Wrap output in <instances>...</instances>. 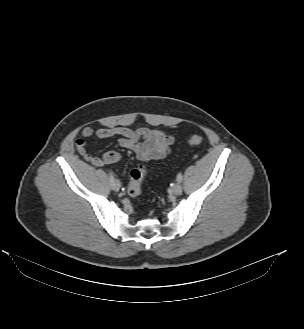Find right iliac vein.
<instances>
[{
	"label": "right iliac vein",
	"mask_w": 304,
	"mask_h": 329,
	"mask_svg": "<svg viewBox=\"0 0 304 329\" xmlns=\"http://www.w3.org/2000/svg\"><path fill=\"white\" fill-rule=\"evenodd\" d=\"M120 187H121L120 182L116 180L115 181V184L113 186V190L114 191H119L120 190Z\"/></svg>",
	"instance_id": "63e3f726"
}]
</instances>
